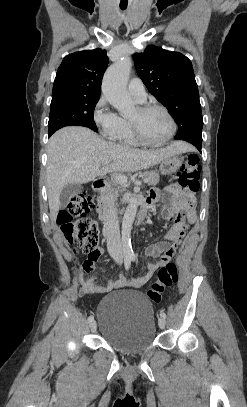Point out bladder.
Instances as JSON below:
<instances>
[{"label":"bladder","mask_w":247,"mask_h":407,"mask_svg":"<svg viewBox=\"0 0 247 407\" xmlns=\"http://www.w3.org/2000/svg\"><path fill=\"white\" fill-rule=\"evenodd\" d=\"M96 319L102 338L125 355L145 352L156 339L153 307L142 293L125 290L106 296Z\"/></svg>","instance_id":"obj_1"}]
</instances>
